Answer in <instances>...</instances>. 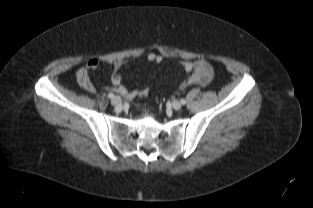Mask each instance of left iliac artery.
<instances>
[{"instance_id":"44dca946","label":"left iliac artery","mask_w":313,"mask_h":208,"mask_svg":"<svg viewBox=\"0 0 313 208\" xmlns=\"http://www.w3.org/2000/svg\"><path fill=\"white\" fill-rule=\"evenodd\" d=\"M180 102H181V104L184 105L186 103V100L185 99H181Z\"/></svg>"}]
</instances>
